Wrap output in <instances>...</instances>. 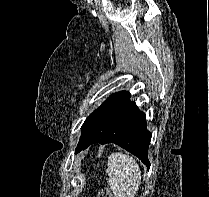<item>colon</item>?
<instances>
[{
    "label": "colon",
    "mask_w": 209,
    "mask_h": 197,
    "mask_svg": "<svg viewBox=\"0 0 209 197\" xmlns=\"http://www.w3.org/2000/svg\"><path fill=\"white\" fill-rule=\"evenodd\" d=\"M96 197H113V194L108 188L103 187L99 190Z\"/></svg>",
    "instance_id": "1"
}]
</instances>
